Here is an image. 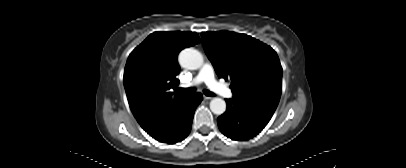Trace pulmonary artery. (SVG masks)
Wrapping results in <instances>:
<instances>
[{
  "mask_svg": "<svg viewBox=\"0 0 406 168\" xmlns=\"http://www.w3.org/2000/svg\"><path fill=\"white\" fill-rule=\"evenodd\" d=\"M200 83H205L212 91L220 96L227 98L232 96L231 90L215 79L213 67L209 63H205L193 81L185 86H193Z\"/></svg>",
  "mask_w": 406,
  "mask_h": 168,
  "instance_id": "pulmonary-artery-1",
  "label": "pulmonary artery"
}]
</instances>
